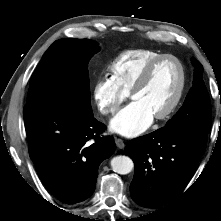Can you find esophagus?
<instances>
[{
	"instance_id": "1",
	"label": "esophagus",
	"mask_w": 221,
	"mask_h": 221,
	"mask_svg": "<svg viewBox=\"0 0 221 221\" xmlns=\"http://www.w3.org/2000/svg\"><path fill=\"white\" fill-rule=\"evenodd\" d=\"M115 143L119 149H123L125 147L124 141L122 139L117 138Z\"/></svg>"
}]
</instances>
